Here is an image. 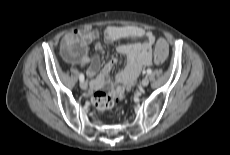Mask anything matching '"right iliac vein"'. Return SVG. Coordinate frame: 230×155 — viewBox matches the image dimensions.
<instances>
[{"label": "right iliac vein", "mask_w": 230, "mask_h": 155, "mask_svg": "<svg viewBox=\"0 0 230 155\" xmlns=\"http://www.w3.org/2000/svg\"><path fill=\"white\" fill-rule=\"evenodd\" d=\"M80 87H81V89L86 90L87 89V83L85 81H81Z\"/></svg>", "instance_id": "63e3f726"}]
</instances>
